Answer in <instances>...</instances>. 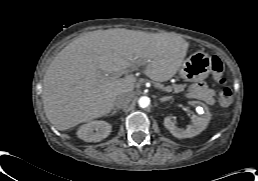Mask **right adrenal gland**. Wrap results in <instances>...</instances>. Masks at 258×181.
I'll use <instances>...</instances> for the list:
<instances>
[{"label":"right adrenal gland","instance_id":"1","mask_svg":"<svg viewBox=\"0 0 258 181\" xmlns=\"http://www.w3.org/2000/svg\"><path fill=\"white\" fill-rule=\"evenodd\" d=\"M118 109H116V108H113L112 109V112L110 113V115L109 116H113V115H116L117 113H118Z\"/></svg>","mask_w":258,"mask_h":181}]
</instances>
